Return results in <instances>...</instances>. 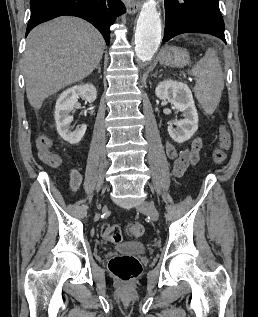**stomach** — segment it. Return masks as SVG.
<instances>
[{
  "mask_svg": "<svg viewBox=\"0 0 258 317\" xmlns=\"http://www.w3.org/2000/svg\"><path fill=\"white\" fill-rule=\"evenodd\" d=\"M159 60L164 66H185L189 62V52L180 46H166L161 50Z\"/></svg>",
  "mask_w": 258,
  "mask_h": 317,
  "instance_id": "0dacf381",
  "label": "stomach"
}]
</instances>
